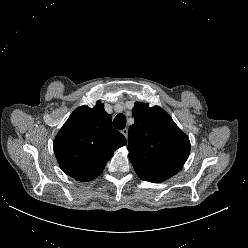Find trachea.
Masks as SVG:
<instances>
[{
    "instance_id": "1",
    "label": "trachea",
    "mask_w": 248,
    "mask_h": 248,
    "mask_svg": "<svg viewBox=\"0 0 248 248\" xmlns=\"http://www.w3.org/2000/svg\"><path fill=\"white\" fill-rule=\"evenodd\" d=\"M126 126V117L124 114H118L113 120V127L116 129H124Z\"/></svg>"
}]
</instances>
